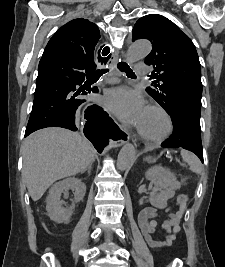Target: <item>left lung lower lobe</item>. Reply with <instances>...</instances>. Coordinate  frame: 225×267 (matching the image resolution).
<instances>
[{
    "label": "left lung lower lobe",
    "instance_id": "obj_1",
    "mask_svg": "<svg viewBox=\"0 0 225 267\" xmlns=\"http://www.w3.org/2000/svg\"><path fill=\"white\" fill-rule=\"evenodd\" d=\"M200 113V103L196 101L185 103L173 122L174 130L171 137L161 146L187 149L195 153L203 162Z\"/></svg>",
    "mask_w": 225,
    "mask_h": 267
}]
</instances>
